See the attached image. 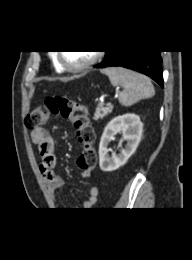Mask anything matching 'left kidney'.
Returning <instances> with one entry per match:
<instances>
[{"instance_id":"1","label":"left kidney","mask_w":192,"mask_h":260,"mask_svg":"<svg viewBox=\"0 0 192 260\" xmlns=\"http://www.w3.org/2000/svg\"><path fill=\"white\" fill-rule=\"evenodd\" d=\"M143 131L140 117L135 114H125L113 118L105 127L99 144V166L105 172H111L123 166L130 156L136 151ZM122 132L127 145L121 149L120 154L110 157L108 145L114 135Z\"/></svg>"}]
</instances>
